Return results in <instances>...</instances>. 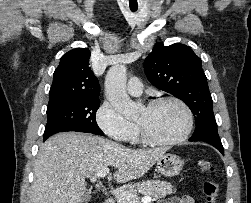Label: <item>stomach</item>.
Returning <instances> with one entry per match:
<instances>
[{
  "instance_id": "stomach-1",
  "label": "stomach",
  "mask_w": 251,
  "mask_h": 203,
  "mask_svg": "<svg viewBox=\"0 0 251 203\" xmlns=\"http://www.w3.org/2000/svg\"><path fill=\"white\" fill-rule=\"evenodd\" d=\"M183 160L171 153L163 154L157 161V170L166 177L178 175L183 167Z\"/></svg>"
}]
</instances>
